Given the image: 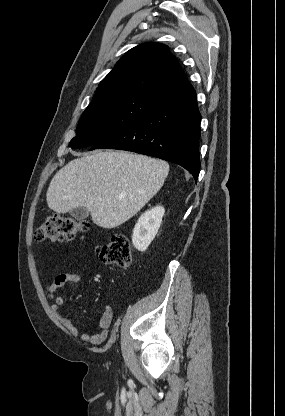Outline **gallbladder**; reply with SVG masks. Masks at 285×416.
<instances>
[{"label": "gallbladder", "mask_w": 285, "mask_h": 416, "mask_svg": "<svg viewBox=\"0 0 285 416\" xmlns=\"http://www.w3.org/2000/svg\"><path fill=\"white\" fill-rule=\"evenodd\" d=\"M69 214L72 218L78 220V222H83V220L89 216V212L88 210H85V208H73V210H70Z\"/></svg>", "instance_id": "obj_1"}]
</instances>
